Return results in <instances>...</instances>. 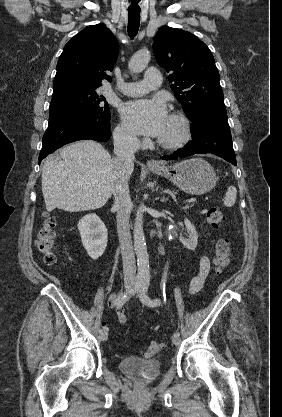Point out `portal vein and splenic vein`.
Listing matches in <instances>:
<instances>
[{"mask_svg": "<svg viewBox=\"0 0 282 417\" xmlns=\"http://www.w3.org/2000/svg\"><path fill=\"white\" fill-rule=\"evenodd\" d=\"M203 200H204V198H203ZM184 202H187V203H194V202H197V199H194V198H187V199H184Z\"/></svg>", "mask_w": 282, "mask_h": 417, "instance_id": "portal-vein-and-splenic-vein-1", "label": "portal vein and splenic vein"}]
</instances>
